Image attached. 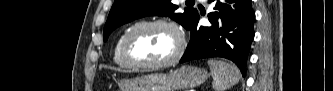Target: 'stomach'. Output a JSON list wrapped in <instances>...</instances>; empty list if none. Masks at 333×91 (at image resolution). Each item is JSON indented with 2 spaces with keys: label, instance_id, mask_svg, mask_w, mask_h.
<instances>
[{
  "label": "stomach",
  "instance_id": "stomach-1",
  "mask_svg": "<svg viewBox=\"0 0 333 91\" xmlns=\"http://www.w3.org/2000/svg\"><path fill=\"white\" fill-rule=\"evenodd\" d=\"M208 73L195 66L187 65L169 74H149L124 79L119 83L121 91H178L202 84Z\"/></svg>",
  "mask_w": 333,
  "mask_h": 91
}]
</instances>
